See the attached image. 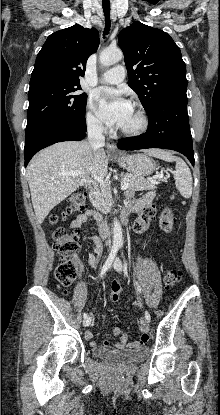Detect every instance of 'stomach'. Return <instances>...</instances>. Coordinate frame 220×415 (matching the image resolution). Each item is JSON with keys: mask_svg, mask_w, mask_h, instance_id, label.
I'll return each instance as SVG.
<instances>
[{"mask_svg": "<svg viewBox=\"0 0 220 415\" xmlns=\"http://www.w3.org/2000/svg\"><path fill=\"white\" fill-rule=\"evenodd\" d=\"M115 159L122 168L138 177L150 175L157 169L156 163L146 154H125Z\"/></svg>", "mask_w": 220, "mask_h": 415, "instance_id": "1", "label": "stomach"}]
</instances>
